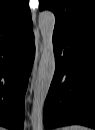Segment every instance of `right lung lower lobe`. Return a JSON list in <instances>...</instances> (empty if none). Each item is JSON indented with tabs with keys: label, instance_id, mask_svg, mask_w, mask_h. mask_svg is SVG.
<instances>
[{
	"label": "right lung lower lobe",
	"instance_id": "1",
	"mask_svg": "<svg viewBox=\"0 0 95 130\" xmlns=\"http://www.w3.org/2000/svg\"><path fill=\"white\" fill-rule=\"evenodd\" d=\"M34 52L31 28L0 43V124L12 130H23L24 94Z\"/></svg>",
	"mask_w": 95,
	"mask_h": 130
}]
</instances>
